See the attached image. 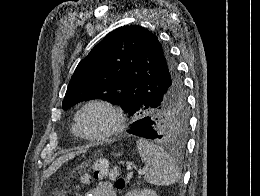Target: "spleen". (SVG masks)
Instances as JSON below:
<instances>
[{
    "label": "spleen",
    "mask_w": 260,
    "mask_h": 196,
    "mask_svg": "<svg viewBox=\"0 0 260 196\" xmlns=\"http://www.w3.org/2000/svg\"><path fill=\"white\" fill-rule=\"evenodd\" d=\"M136 144L140 158L148 170L144 176L145 182L155 186H171L178 182L179 168L163 148L144 138L137 140Z\"/></svg>",
    "instance_id": "1"
}]
</instances>
